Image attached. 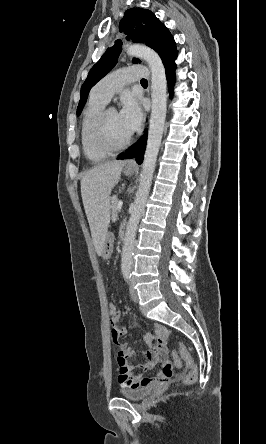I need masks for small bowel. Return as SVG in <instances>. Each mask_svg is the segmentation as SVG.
<instances>
[{"label":"small bowel","mask_w":266,"mask_h":444,"mask_svg":"<svg viewBox=\"0 0 266 444\" xmlns=\"http://www.w3.org/2000/svg\"><path fill=\"white\" fill-rule=\"evenodd\" d=\"M121 315V311H118L116 316L110 320L112 339L118 347L117 364L119 367L118 381L120 386L122 388H138L148 385H166L173 376V365L168 360V331L164 327L157 325L154 335L146 333L143 336V341L147 345L152 346L153 342H155V344L150 349L142 352L144 361L140 363L138 367L144 373L153 369L155 366H159L160 369L158 373L153 376L135 375L133 373V367L128 363V358L134 356L136 353L134 349L128 345L119 343V339L127 333L126 328L119 325Z\"/></svg>","instance_id":"c3829d8e"}]
</instances>
